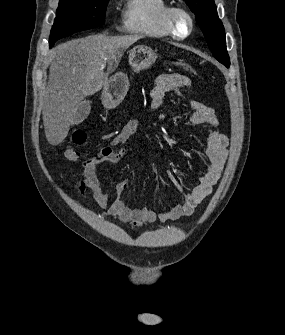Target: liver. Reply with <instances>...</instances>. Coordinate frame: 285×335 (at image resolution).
I'll list each match as a JSON object with an SVG mask.
<instances>
[{
  "instance_id": "6515ba94",
  "label": "liver",
  "mask_w": 285,
  "mask_h": 335,
  "mask_svg": "<svg viewBox=\"0 0 285 335\" xmlns=\"http://www.w3.org/2000/svg\"><path fill=\"white\" fill-rule=\"evenodd\" d=\"M142 36H88L60 44L51 50L49 82L43 106L47 142L65 140L78 104L102 90L108 82L104 66L117 68L125 50Z\"/></svg>"
}]
</instances>
